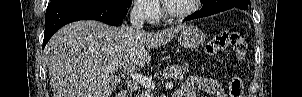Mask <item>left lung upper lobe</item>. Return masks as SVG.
I'll list each match as a JSON object with an SVG mask.
<instances>
[{"instance_id":"left-lung-upper-lobe-1","label":"left lung upper lobe","mask_w":302,"mask_h":97,"mask_svg":"<svg viewBox=\"0 0 302 97\" xmlns=\"http://www.w3.org/2000/svg\"><path fill=\"white\" fill-rule=\"evenodd\" d=\"M203 7H210L219 11H224L231 8L248 7L250 0H202Z\"/></svg>"}]
</instances>
